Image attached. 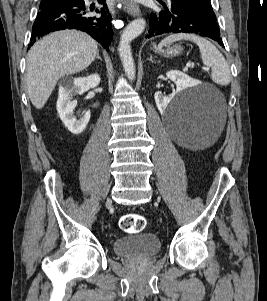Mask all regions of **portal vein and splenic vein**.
I'll return each mask as SVG.
<instances>
[{
  "mask_svg": "<svg viewBox=\"0 0 267 301\" xmlns=\"http://www.w3.org/2000/svg\"><path fill=\"white\" fill-rule=\"evenodd\" d=\"M193 63H188L186 66L187 67H193ZM203 70H205V71H209L210 70V68H208V67H203Z\"/></svg>",
  "mask_w": 267,
  "mask_h": 301,
  "instance_id": "1",
  "label": "portal vein and splenic vein"
}]
</instances>
